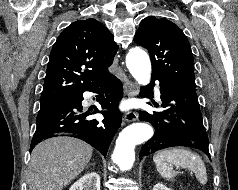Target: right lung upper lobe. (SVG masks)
Returning a JSON list of instances; mask_svg holds the SVG:
<instances>
[{"mask_svg":"<svg viewBox=\"0 0 238 190\" xmlns=\"http://www.w3.org/2000/svg\"><path fill=\"white\" fill-rule=\"evenodd\" d=\"M113 38L94 18L70 24L51 50L40 102L76 97L110 76L107 68L118 49Z\"/></svg>","mask_w":238,"mask_h":190,"instance_id":"obj_1","label":"right lung upper lobe"}]
</instances>
